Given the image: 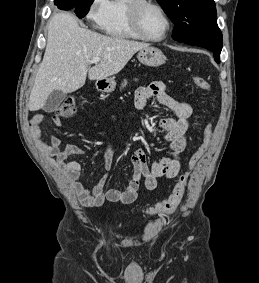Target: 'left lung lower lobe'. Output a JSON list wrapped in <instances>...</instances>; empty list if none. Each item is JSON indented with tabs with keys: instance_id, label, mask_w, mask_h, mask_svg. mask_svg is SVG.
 Wrapping results in <instances>:
<instances>
[{
	"instance_id": "0a47b994",
	"label": "left lung lower lobe",
	"mask_w": 259,
	"mask_h": 283,
	"mask_svg": "<svg viewBox=\"0 0 259 283\" xmlns=\"http://www.w3.org/2000/svg\"><path fill=\"white\" fill-rule=\"evenodd\" d=\"M186 44L200 46L213 52L215 60L219 63V56L222 50V33L215 35L194 39L184 42Z\"/></svg>"
}]
</instances>
